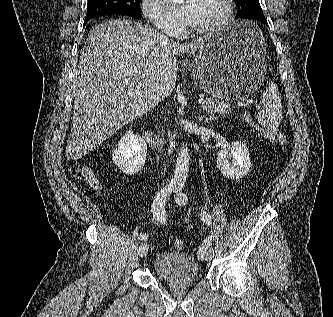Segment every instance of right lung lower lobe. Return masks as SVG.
<instances>
[{"mask_svg": "<svg viewBox=\"0 0 333 317\" xmlns=\"http://www.w3.org/2000/svg\"><path fill=\"white\" fill-rule=\"evenodd\" d=\"M88 20H89L88 18H85V22L84 23H86Z\"/></svg>", "mask_w": 333, "mask_h": 317, "instance_id": "1", "label": "right lung lower lobe"}]
</instances>
